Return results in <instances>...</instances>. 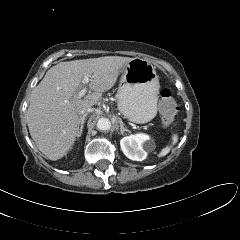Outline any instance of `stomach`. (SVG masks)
<instances>
[{
  "mask_svg": "<svg viewBox=\"0 0 240 240\" xmlns=\"http://www.w3.org/2000/svg\"><path fill=\"white\" fill-rule=\"evenodd\" d=\"M120 72L116 94L119 111L134 123L151 121L157 115L160 89L155 67L145 59L134 58Z\"/></svg>",
  "mask_w": 240,
  "mask_h": 240,
  "instance_id": "1",
  "label": "stomach"
}]
</instances>
